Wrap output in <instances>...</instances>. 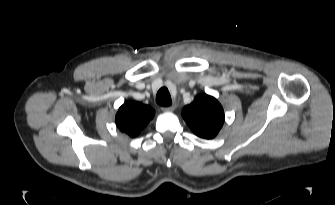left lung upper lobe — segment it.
<instances>
[{
	"instance_id": "left-lung-upper-lobe-1",
	"label": "left lung upper lobe",
	"mask_w": 335,
	"mask_h": 205,
	"mask_svg": "<svg viewBox=\"0 0 335 205\" xmlns=\"http://www.w3.org/2000/svg\"><path fill=\"white\" fill-rule=\"evenodd\" d=\"M182 116L192 131L205 139L214 138L224 123V111L219 102L207 94L198 95L183 108Z\"/></svg>"
}]
</instances>
